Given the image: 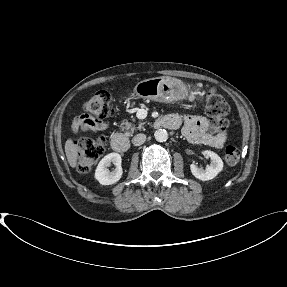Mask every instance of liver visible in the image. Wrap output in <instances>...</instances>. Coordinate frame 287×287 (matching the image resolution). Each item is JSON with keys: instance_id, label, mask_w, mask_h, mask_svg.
<instances>
[{"instance_id": "liver-1", "label": "liver", "mask_w": 287, "mask_h": 287, "mask_svg": "<svg viewBox=\"0 0 287 287\" xmlns=\"http://www.w3.org/2000/svg\"><path fill=\"white\" fill-rule=\"evenodd\" d=\"M65 153L69 165L72 168H75L78 160V147L71 138H69L65 143Z\"/></svg>"}]
</instances>
